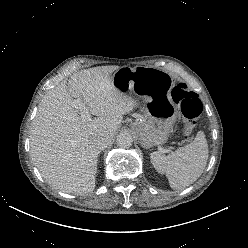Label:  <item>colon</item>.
Masks as SVG:
<instances>
[{
    "label": "colon",
    "instance_id": "obj_1",
    "mask_svg": "<svg viewBox=\"0 0 248 248\" xmlns=\"http://www.w3.org/2000/svg\"><path fill=\"white\" fill-rule=\"evenodd\" d=\"M172 98L180 104L181 112L186 120V137L188 138L195 128L197 118L202 111V103L197 95L183 84H177L172 90Z\"/></svg>",
    "mask_w": 248,
    "mask_h": 248
}]
</instances>
